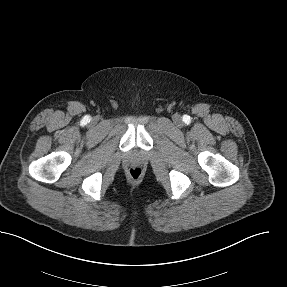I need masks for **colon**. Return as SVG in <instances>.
<instances>
[{
  "label": "colon",
  "instance_id": "1",
  "mask_svg": "<svg viewBox=\"0 0 287 287\" xmlns=\"http://www.w3.org/2000/svg\"><path fill=\"white\" fill-rule=\"evenodd\" d=\"M132 179H139L142 175V169L138 166L131 167L128 171Z\"/></svg>",
  "mask_w": 287,
  "mask_h": 287
}]
</instances>
